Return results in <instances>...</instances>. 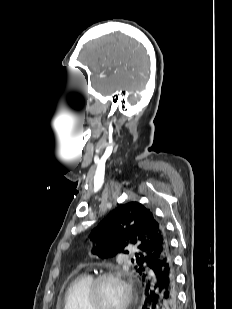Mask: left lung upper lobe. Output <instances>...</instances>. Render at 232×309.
<instances>
[{"label": "left lung upper lobe", "instance_id": "1", "mask_svg": "<svg viewBox=\"0 0 232 309\" xmlns=\"http://www.w3.org/2000/svg\"><path fill=\"white\" fill-rule=\"evenodd\" d=\"M96 242L93 253L100 258H112L119 253L134 251L132 263L143 278L151 261L169 247L164 225L150 209L138 202L123 204L114 209L91 233Z\"/></svg>", "mask_w": 232, "mask_h": 309}]
</instances>
